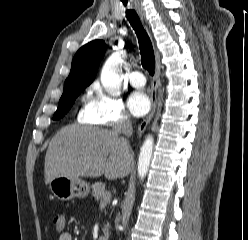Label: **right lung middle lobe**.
Segmentation results:
<instances>
[{"instance_id": "right-lung-middle-lobe-1", "label": "right lung middle lobe", "mask_w": 248, "mask_h": 240, "mask_svg": "<svg viewBox=\"0 0 248 240\" xmlns=\"http://www.w3.org/2000/svg\"><path fill=\"white\" fill-rule=\"evenodd\" d=\"M85 89L78 83L64 85V91L60 98L58 109L53 116V120L62 118L73 105L77 96Z\"/></svg>"}]
</instances>
